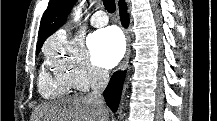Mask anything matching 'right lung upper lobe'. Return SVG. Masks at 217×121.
Returning a JSON list of instances; mask_svg holds the SVG:
<instances>
[{
	"instance_id": "cb5924a9",
	"label": "right lung upper lobe",
	"mask_w": 217,
	"mask_h": 121,
	"mask_svg": "<svg viewBox=\"0 0 217 121\" xmlns=\"http://www.w3.org/2000/svg\"><path fill=\"white\" fill-rule=\"evenodd\" d=\"M73 3L74 0H50L41 20L36 51H40L44 41L63 25Z\"/></svg>"
}]
</instances>
